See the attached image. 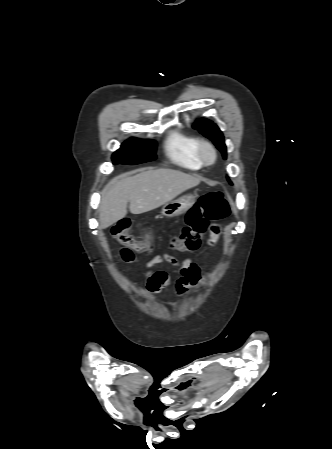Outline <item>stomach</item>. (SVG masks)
I'll list each match as a JSON object with an SVG mask.
<instances>
[{
	"label": "stomach",
	"instance_id": "obj_1",
	"mask_svg": "<svg viewBox=\"0 0 332 449\" xmlns=\"http://www.w3.org/2000/svg\"><path fill=\"white\" fill-rule=\"evenodd\" d=\"M196 195H185L177 200L167 202L163 205L161 214L166 217H175L187 212L195 203Z\"/></svg>",
	"mask_w": 332,
	"mask_h": 449
}]
</instances>
